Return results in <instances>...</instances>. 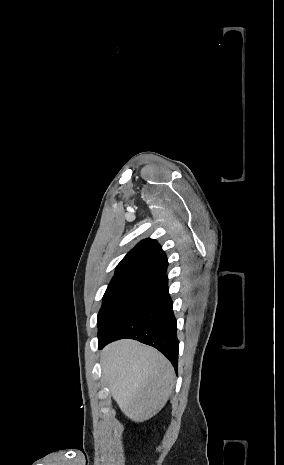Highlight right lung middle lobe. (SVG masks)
Wrapping results in <instances>:
<instances>
[{"mask_svg": "<svg viewBox=\"0 0 284 465\" xmlns=\"http://www.w3.org/2000/svg\"><path fill=\"white\" fill-rule=\"evenodd\" d=\"M155 281L141 278H113L103 296L98 313V336L131 308Z\"/></svg>", "mask_w": 284, "mask_h": 465, "instance_id": "obj_1", "label": "right lung middle lobe"}]
</instances>
